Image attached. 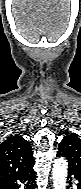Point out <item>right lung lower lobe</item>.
I'll use <instances>...</instances> for the list:
<instances>
[{"label":"right lung lower lobe","instance_id":"1","mask_svg":"<svg viewBox=\"0 0 81 189\" xmlns=\"http://www.w3.org/2000/svg\"><path fill=\"white\" fill-rule=\"evenodd\" d=\"M33 166L34 164L13 177L0 181V189H35L36 172Z\"/></svg>","mask_w":81,"mask_h":189}]
</instances>
